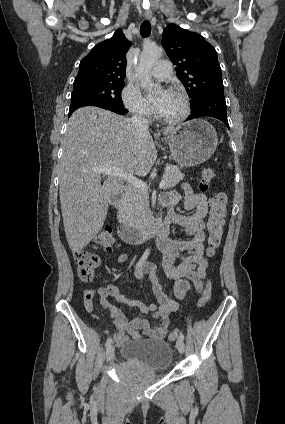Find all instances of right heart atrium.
<instances>
[{"label": "right heart atrium", "instance_id": "right-heart-atrium-1", "mask_svg": "<svg viewBox=\"0 0 285 424\" xmlns=\"http://www.w3.org/2000/svg\"><path fill=\"white\" fill-rule=\"evenodd\" d=\"M121 96L124 106L131 114L144 119L152 115L151 104L136 84L128 83L123 88Z\"/></svg>", "mask_w": 285, "mask_h": 424}]
</instances>
